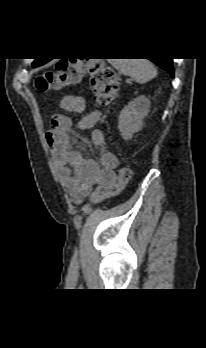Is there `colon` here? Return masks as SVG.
<instances>
[{"mask_svg":"<svg viewBox=\"0 0 206 348\" xmlns=\"http://www.w3.org/2000/svg\"><path fill=\"white\" fill-rule=\"evenodd\" d=\"M84 74L90 77V85L94 99L99 105L112 102L119 90L117 73L113 68L96 58L60 59L53 70L41 73L36 79V88L45 93L59 90L78 82ZM131 176L128 167H121L117 172V180L112 185L99 186L91 196L95 203L118 195L128 183Z\"/></svg>","mask_w":206,"mask_h":348,"instance_id":"1","label":"colon"}]
</instances>
